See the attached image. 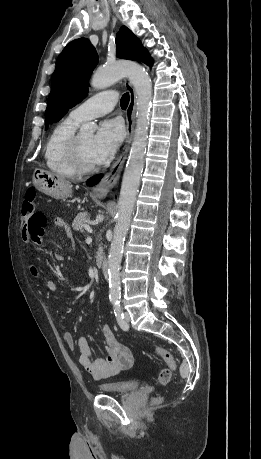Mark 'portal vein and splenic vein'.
I'll return each mask as SVG.
<instances>
[{"label": "portal vein and splenic vein", "instance_id": "18ae733b", "mask_svg": "<svg viewBox=\"0 0 261 459\" xmlns=\"http://www.w3.org/2000/svg\"><path fill=\"white\" fill-rule=\"evenodd\" d=\"M84 228H85L87 231H89L90 233H92V229L90 228L89 225H84Z\"/></svg>", "mask_w": 261, "mask_h": 459}]
</instances>
